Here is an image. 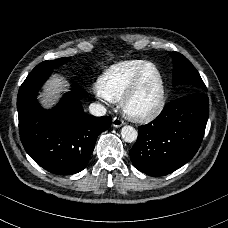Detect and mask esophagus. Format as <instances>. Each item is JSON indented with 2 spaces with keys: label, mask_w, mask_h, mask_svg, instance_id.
<instances>
[{
  "label": "esophagus",
  "mask_w": 228,
  "mask_h": 228,
  "mask_svg": "<svg viewBox=\"0 0 228 228\" xmlns=\"http://www.w3.org/2000/svg\"><path fill=\"white\" fill-rule=\"evenodd\" d=\"M112 124L115 128H119L124 124V121L119 117H114L112 120Z\"/></svg>",
  "instance_id": "34e87169"
}]
</instances>
